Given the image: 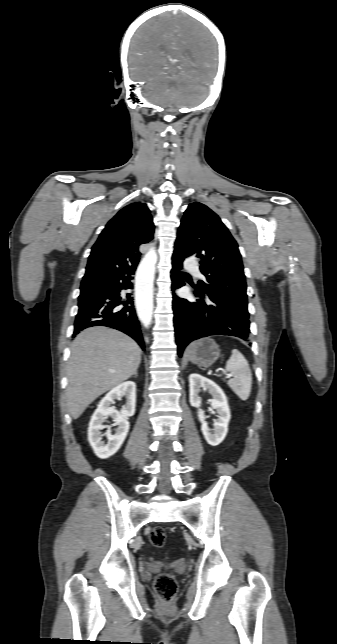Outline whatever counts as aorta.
<instances>
[{"label": "aorta", "instance_id": "762f6f07", "mask_svg": "<svg viewBox=\"0 0 337 644\" xmlns=\"http://www.w3.org/2000/svg\"><path fill=\"white\" fill-rule=\"evenodd\" d=\"M157 255L150 251L140 263L135 279V302L140 320L150 325L153 313V278Z\"/></svg>", "mask_w": 337, "mask_h": 644}]
</instances>
